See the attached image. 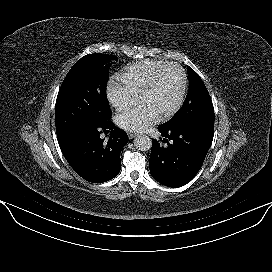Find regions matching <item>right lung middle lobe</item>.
Segmentation results:
<instances>
[{
  "label": "right lung middle lobe",
  "instance_id": "1",
  "mask_svg": "<svg viewBox=\"0 0 272 272\" xmlns=\"http://www.w3.org/2000/svg\"><path fill=\"white\" fill-rule=\"evenodd\" d=\"M117 57L89 54L78 60L58 92L55 124L58 141L87 127H99L111 117L106 96L109 68Z\"/></svg>",
  "mask_w": 272,
  "mask_h": 272
}]
</instances>
